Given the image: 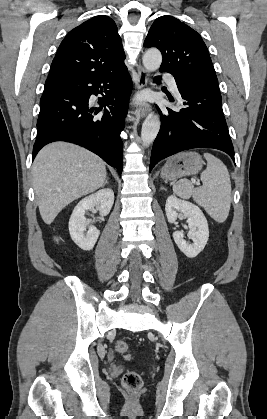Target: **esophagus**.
<instances>
[{
  "label": "esophagus",
  "instance_id": "obj_1",
  "mask_svg": "<svg viewBox=\"0 0 267 419\" xmlns=\"http://www.w3.org/2000/svg\"><path fill=\"white\" fill-rule=\"evenodd\" d=\"M137 71H138V82H137V88L138 89H142L144 87L147 86L148 81H149V73L148 71L142 66V65H138L137 66ZM151 110V106L148 103H144L140 106L137 107V113L141 116V117H145Z\"/></svg>",
  "mask_w": 267,
  "mask_h": 419
}]
</instances>
